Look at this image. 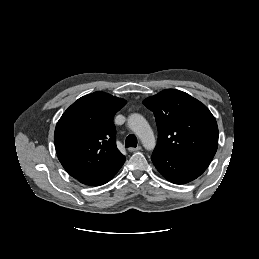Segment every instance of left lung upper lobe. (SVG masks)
<instances>
[{
  "label": "left lung upper lobe",
  "mask_w": 259,
  "mask_h": 259,
  "mask_svg": "<svg viewBox=\"0 0 259 259\" xmlns=\"http://www.w3.org/2000/svg\"><path fill=\"white\" fill-rule=\"evenodd\" d=\"M143 104L155 116V149L175 157L212 160L218 146V127L209 109L189 94L167 89Z\"/></svg>",
  "instance_id": "1"
}]
</instances>
